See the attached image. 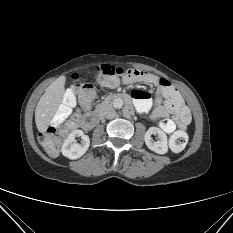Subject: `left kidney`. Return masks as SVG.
Returning a JSON list of instances; mask_svg holds the SVG:
<instances>
[{
    "label": "left kidney",
    "mask_w": 233,
    "mask_h": 233,
    "mask_svg": "<svg viewBox=\"0 0 233 233\" xmlns=\"http://www.w3.org/2000/svg\"><path fill=\"white\" fill-rule=\"evenodd\" d=\"M152 134L158 136V141L152 139ZM144 140L146 146L155 153L165 154L168 152L167 135L161 129L150 127L144 135Z\"/></svg>",
    "instance_id": "5707ae66"
}]
</instances>
